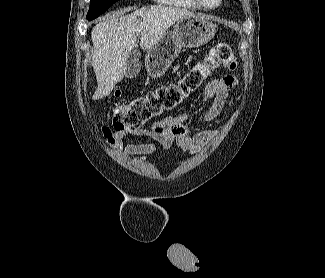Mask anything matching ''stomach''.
Segmentation results:
<instances>
[{"instance_id": "stomach-1", "label": "stomach", "mask_w": 325, "mask_h": 278, "mask_svg": "<svg viewBox=\"0 0 325 278\" xmlns=\"http://www.w3.org/2000/svg\"><path fill=\"white\" fill-rule=\"evenodd\" d=\"M216 33V26L205 16L194 15L176 22L173 31L147 49L145 64L149 74L160 77L178 56L182 48H196L208 43Z\"/></svg>"}]
</instances>
